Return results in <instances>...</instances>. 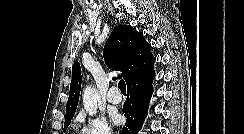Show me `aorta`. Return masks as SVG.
Segmentation results:
<instances>
[{
    "label": "aorta",
    "instance_id": "762f6f07",
    "mask_svg": "<svg viewBox=\"0 0 244 134\" xmlns=\"http://www.w3.org/2000/svg\"><path fill=\"white\" fill-rule=\"evenodd\" d=\"M100 100V95L96 88L87 86L83 93V105L86 112L93 116L97 113L98 102Z\"/></svg>",
    "mask_w": 244,
    "mask_h": 134
}]
</instances>
